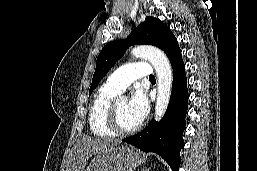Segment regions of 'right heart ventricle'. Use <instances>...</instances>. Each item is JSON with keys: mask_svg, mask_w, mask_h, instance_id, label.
<instances>
[{"mask_svg": "<svg viewBox=\"0 0 257 171\" xmlns=\"http://www.w3.org/2000/svg\"><path fill=\"white\" fill-rule=\"evenodd\" d=\"M120 92L103 84L95 93L90 105L88 123L92 134L99 137H113L115 133L107 124L109 105Z\"/></svg>", "mask_w": 257, "mask_h": 171, "instance_id": "1", "label": "right heart ventricle"}]
</instances>
